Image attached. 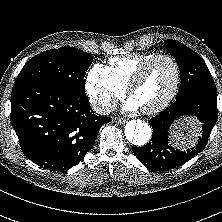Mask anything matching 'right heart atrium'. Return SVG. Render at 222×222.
Returning <instances> with one entry per match:
<instances>
[{"label":"right heart atrium","mask_w":222,"mask_h":222,"mask_svg":"<svg viewBox=\"0 0 222 222\" xmlns=\"http://www.w3.org/2000/svg\"><path fill=\"white\" fill-rule=\"evenodd\" d=\"M86 90L90 103L101 113H108L117 99L125 94V87L116 81L110 69L103 64H95L88 72Z\"/></svg>","instance_id":"obj_1"}]
</instances>
